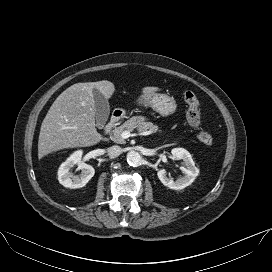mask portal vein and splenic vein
<instances>
[{"instance_id": "portal-vein-and-splenic-vein-1", "label": "portal vein and splenic vein", "mask_w": 272, "mask_h": 272, "mask_svg": "<svg viewBox=\"0 0 272 272\" xmlns=\"http://www.w3.org/2000/svg\"><path fill=\"white\" fill-rule=\"evenodd\" d=\"M121 137L123 139H127V138L131 137V133L129 131H124V132H122Z\"/></svg>"}]
</instances>
